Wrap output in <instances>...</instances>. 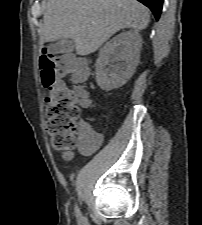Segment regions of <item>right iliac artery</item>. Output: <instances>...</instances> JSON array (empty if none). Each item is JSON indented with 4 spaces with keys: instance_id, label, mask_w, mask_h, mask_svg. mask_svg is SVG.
I'll return each instance as SVG.
<instances>
[{
    "instance_id": "1",
    "label": "right iliac artery",
    "mask_w": 202,
    "mask_h": 225,
    "mask_svg": "<svg viewBox=\"0 0 202 225\" xmlns=\"http://www.w3.org/2000/svg\"><path fill=\"white\" fill-rule=\"evenodd\" d=\"M75 213H76L77 219L81 221L83 217H82V214H81L78 206L75 207Z\"/></svg>"
}]
</instances>
